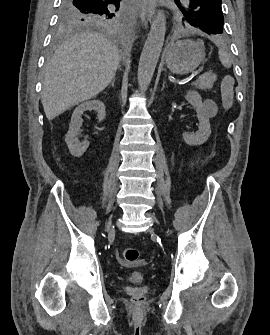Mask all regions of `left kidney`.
Here are the masks:
<instances>
[{
    "label": "left kidney",
    "instance_id": "left-kidney-1",
    "mask_svg": "<svg viewBox=\"0 0 270 335\" xmlns=\"http://www.w3.org/2000/svg\"><path fill=\"white\" fill-rule=\"evenodd\" d=\"M185 98L193 108H196L197 118L199 120V130L198 132H195V134L184 132L182 136L188 146H201V144L207 142L209 136H211L209 118H207L203 110L202 98L198 92H187Z\"/></svg>",
    "mask_w": 270,
    "mask_h": 335
}]
</instances>
